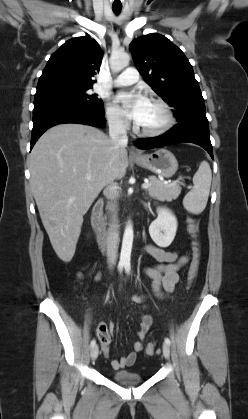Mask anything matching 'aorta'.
I'll return each instance as SVG.
<instances>
[{
    "label": "aorta",
    "instance_id": "aorta-1",
    "mask_svg": "<svg viewBox=\"0 0 248 419\" xmlns=\"http://www.w3.org/2000/svg\"><path fill=\"white\" fill-rule=\"evenodd\" d=\"M130 56L127 53H114L110 57V67L113 72H119L129 65ZM133 227L128 223L125 227L122 248L120 254V263L127 265L130 264L131 250L133 244Z\"/></svg>",
    "mask_w": 248,
    "mask_h": 419
}]
</instances>
